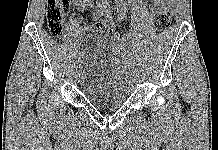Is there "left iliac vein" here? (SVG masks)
<instances>
[{"label": "left iliac vein", "mask_w": 218, "mask_h": 150, "mask_svg": "<svg viewBox=\"0 0 218 150\" xmlns=\"http://www.w3.org/2000/svg\"><path fill=\"white\" fill-rule=\"evenodd\" d=\"M130 77H131V78H134V77H135V74H134V73H131V74H130Z\"/></svg>", "instance_id": "4c4485c4"}]
</instances>
